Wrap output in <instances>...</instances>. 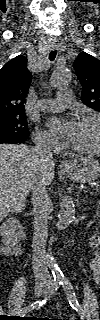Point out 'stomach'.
I'll use <instances>...</instances> for the list:
<instances>
[{
  "label": "stomach",
  "mask_w": 100,
  "mask_h": 320,
  "mask_svg": "<svg viewBox=\"0 0 100 320\" xmlns=\"http://www.w3.org/2000/svg\"><path fill=\"white\" fill-rule=\"evenodd\" d=\"M63 172L79 183L94 181L100 176V162L92 157H79L69 162Z\"/></svg>",
  "instance_id": "1"
}]
</instances>
